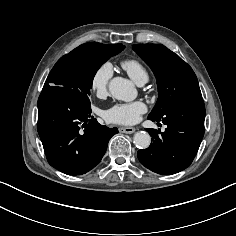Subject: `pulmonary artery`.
<instances>
[{"label": "pulmonary artery", "mask_w": 236, "mask_h": 236, "mask_svg": "<svg viewBox=\"0 0 236 236\" xmlns=\"http://www.w3.org/2000/svg\"><path fill=\"white\" fill-rule=\"evenodd\" d=\"M145 83V81H141V82H139L138 84L139 85H143Z\"/></svg>", "instance_id": "1"}]
</instances>
